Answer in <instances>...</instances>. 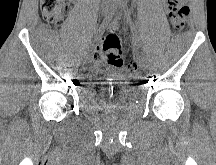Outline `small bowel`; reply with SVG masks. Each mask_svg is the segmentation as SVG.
Instances as JSON below:
<instances>
[{
  "mask_svg": "<svg viewBox=\"0 0 216 165\" xmlns=\"http://www.w3.org/2000/svg\"><path fill=\"white\" fill-rule=\"evenodd\" d=\"M164 2H165L166 4H168V0H164ZM100 52H101V51H100L99 48L95 51V53H94V59H95V60H97V59H96V56H97Z\"/></svg>",
  "mask_w": 216,
  "mask_h": 165,
  "instance_id": "small-bowel-1",
  "label": "small bowel"
}]
</instances>
